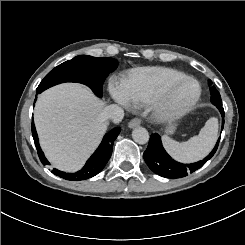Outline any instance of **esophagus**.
Masks as SVG:
<instances>
[{
  "mask_svg": "<svg viewBox=\"0 0 245 245\" xmlns=\"http://www.w3.org/2000/svg\"><path fill=\"white\" fill-rule=\"evenodd\" d=\"M140 125V120L139 119H132L129 123H128V127L130 129H133L135 127H138Z\"/></svg>",
  "mask_w": 245,
  "mask_h": 245,
  "instance_id": "1",
  "label": "esophagus"
}]
</instances>
